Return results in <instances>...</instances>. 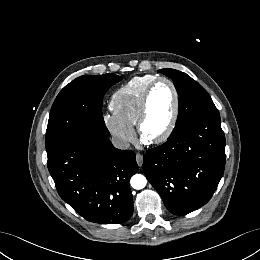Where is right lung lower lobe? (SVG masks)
I'll return each mask as SVG.
<instances>
[{"mask_svg":"<svg viewBox=\"0 0 260 260\" xmlns=\"http://www.w3.org/2000/svg\"><path fill=\"white\" fill-rule=\"evenodd\" d=\"M136 154L114 148L108 137L78 135L48 157V169L61 198L83 218L101 224L130 219L129 180L138 170Z\"/></svg>","mask_w":260,"mask_h":260,"instance_id":"1","label":"right lung lower lobe"}]
</instances>
